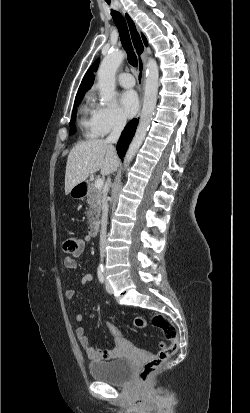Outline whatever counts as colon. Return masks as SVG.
Wrapping results in <instances>:
<instances>
[{
  "label": "colon",
  "mask_w": 250,
  "mask_h": 413,
  "mask_svg": "<svg viewBox=\"0 0 250 413\" xmlns=\"http://www.w3.org/2000/svg\"><path fill=\"white\" fill-rule=\"evenodd\" d=\"M63 249L66 253L74 254L79 249V239L76 236H68L64 243ZM137 329H144L149 323L159 328L165 339L170 342L166 345L164 342L159 343V352L151 359L146 361L139 372V380L142 383L148 382L151 377L161 368V366L177 351L178 349V332L174 324L162 314H155L150 318L145 316H136L133 320ZM106 328L110 331L115 339L123 337V332L116 327L115 322L106 323Z\"/></svg>",
  "instance_id": "1"
}]
</instances>
